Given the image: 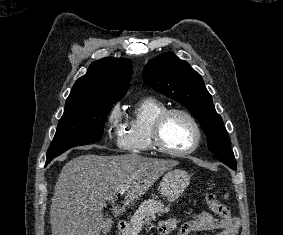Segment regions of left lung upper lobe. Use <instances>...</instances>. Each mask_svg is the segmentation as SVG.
<instances>
[{"instance_id": "obj_1", "label": "left lung upper lobe", "mask_w": 283, "mask_h": 235, "mask_svg": "<svg viewBox=\"0 0 283 235\" xmlns=\"http://www.w3.org/2000/svg\"><path fill=\"white\" fill-rule=\"evenodd\" d=\"M143 79L149 87L181 103L192 113L207 136L208 148L213 154H233L212 96L201 75L186 61L174 53L161 54L145 65Z\"/></svg>"}]
</instances>
